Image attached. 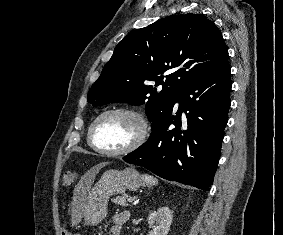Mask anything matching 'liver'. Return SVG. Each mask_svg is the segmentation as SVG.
I'll list each match as a JSON object with an SVG mask.
<instances>
[{"instance_id": "6515ba94", "label": "liver", "mask_w": 283, "mask_h": 235, "mask_svg": "<svg viewBox=\"0 0 283 235\" xmlns=\"http://www.w3.org/2000/svg\"><path fill=\"white\" fill-rule=\"evenodd\" d=\"M108 164H109L108 162H101L93 166L90 170H88L85 173V175L81 178L79 183L76 185L74 189L73 202H72V205H73L72 224L73 225L77 224L81 220L82 197L90 190L97 173Z\"/></svg>"}]
</instances>
